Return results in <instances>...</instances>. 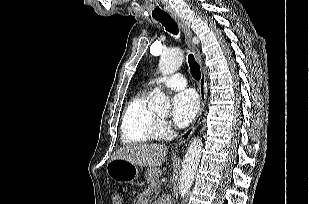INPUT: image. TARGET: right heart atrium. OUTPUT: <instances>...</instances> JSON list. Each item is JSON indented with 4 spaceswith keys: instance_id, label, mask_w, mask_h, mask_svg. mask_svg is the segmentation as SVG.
Returning <instances> with one entry per match:
<instances>
[{
    "instance_id": "obj_1",
    "label": "right heart atrium",
    "mask_w": 309,
    "mask_h": 204,
    "mask_svg": "<svg viewBox=\"0 0 309 204\" xmlns=\"http://www.w3.org/2000/svg\"><path fill=\"white\" fill-rule=\"evenodd\" d=\"M172 133V128L167 121H159L158 124V135L159 136H169Z\"/></svg>"
}]
</instances>
